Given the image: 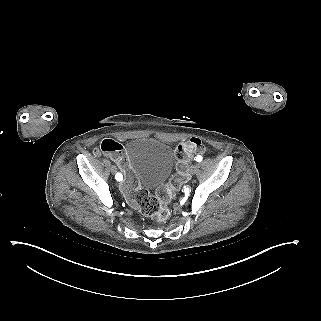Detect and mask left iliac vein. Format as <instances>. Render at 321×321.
Returning <instances> with one entry per match:
<instances>
[{
  "mask_svg": "<svg viewBox=\"0 0 321 321\" xmlns=\"http://www.w3.org/2000/svg\"><path fill=\"white\" fill-rule=\"evenodd\" d=\"M197 166L196 165H192L189 169V172L191 175H194L197 172Z\"/></svg>",
  "mask_w": 321,
  "mask_h": 321,
  "instance_id": "left-iliac-vein-1",
  "label": "left iliac vein"
}]
</instances>
